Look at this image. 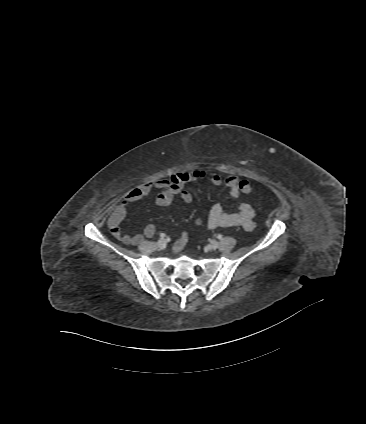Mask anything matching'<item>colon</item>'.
Listing matches in <instances>:
<instances>
[{"label":"colon","mask_w":366,"mask_h":424,"mask_svg":"<svg viewBox=\"0 0 366 424\" xmlns=\"http://www.w3.org/2000/svg\"><path fill=\"white\" fill-rule=\"evenodd\" d=\"M193 175L195 177H201L202 176V172L196 171V172H193ZM240 187H241L242 192L245 193V194H249L253 190L252 185L250 183H248L247 181H241ZM197 223L199 224L200 222L198 221Z\"/></svg>","instance_id":"1"}]
</instances>
